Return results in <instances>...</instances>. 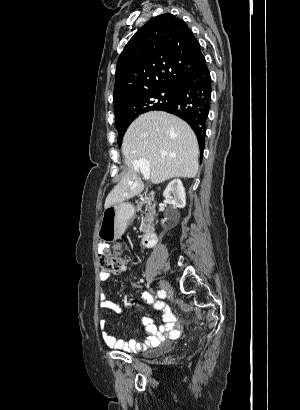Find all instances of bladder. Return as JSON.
Returning <instances> with one entry per match:
<instances>
[{"label": "bladder", "mask_w": 300, "mask_h": 410, "mask_svg": "<svg viewBox=\"0 0 300 410\" xmlns=\"http://www.w3.org/2000/svg\"><path fill=\"white\" fill-rule=\"evenodd\" d=\"M172 348V343L170 341H166L162 343L158 348L155 349V352H159L161 354H164L168 351H170Z\"/></svg>", "instance_id": "31cf9c89"}]
</instances>
